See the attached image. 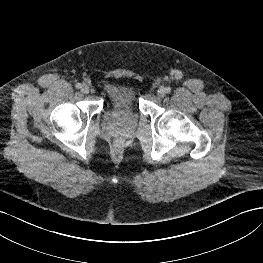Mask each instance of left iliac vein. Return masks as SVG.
Listing matches in <instances>:
<instances>
[{
	"label": "left iliac vein",
	"mask_w": 263,
	"mask_h": 263,
	"mask_svg": "<svg viewBox=\"0 0 263 263\" xmlns=\"http://www.w3.org/2000/svg\"><path fill=\"white\" fill-rule=\"evenodd\" d=\"M157 95L160 98H163L166 95V89L164 87H160L157 91Z\"/></svg>",
	"instance_id": "1"
}]
</instances>
